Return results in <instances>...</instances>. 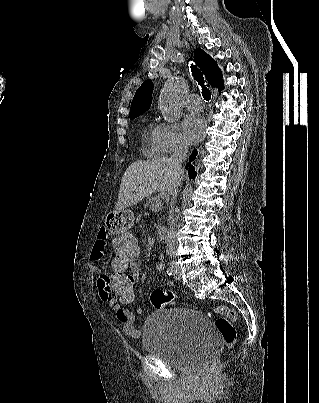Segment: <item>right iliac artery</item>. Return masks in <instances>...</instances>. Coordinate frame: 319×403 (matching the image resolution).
Returning <instances> with one entry per match:
<instances>
[{
  "instance_id": "right-iliac-artery-1",
  "label": "right iliac artery",
  "mask_w": 319,
  "mask_h": 403,
  "mask_svg": "<svg viewBox=\"0 0 319 403\" xmlns=\"http://www.w3.org/2000/svg\"><path fill=\"white\" fill-rule=\"evenodd\" d=\"M172 273H173V268H172V267H169V268L167 269V274H168V275H172Z\"/></svg>"
}]
</instances>
